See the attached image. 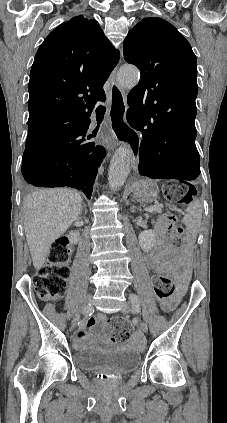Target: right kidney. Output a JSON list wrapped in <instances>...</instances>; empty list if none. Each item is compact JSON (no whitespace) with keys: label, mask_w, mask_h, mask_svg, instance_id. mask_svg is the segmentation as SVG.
<instances>
[{"label":"right kidney","mask_w":227,"mask_h":423,"mask_svg":"<svg viewBox=\"0 0 227 423\" xmlns=\"http://www.w3.org/2000/svg\"><path fill=\"white\" fill-rule=\"evenodd\" d=\"M67 239L69 243H78L80 239V231H78V229H72V231H69Z\"/></svg>","instance_id":"right-kidney-1"}]
</instances>
